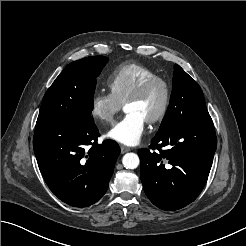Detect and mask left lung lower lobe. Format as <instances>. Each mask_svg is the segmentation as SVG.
Returning <instances> with one entry per match:
<instances>
[{
  "instance_id": "obj_1",
  "label": "left lung lower lobe",
  "mask_w": 246,
  "mask_h": 246,
  "mask_svg": "<svg viewBox=\"0 0 246 246\" xmlns=\"http://www.w3.org/2000/svg\"><path fill=\"white\" fill-rule=\"evenodd\" d=\"M167 146V150L163 147ZM217 146L210 116L176 123L140 149L141 181L150 201L174 211L194 201L206 184Z\"/></svg>"
}]
</instances>
